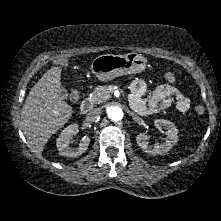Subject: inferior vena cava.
<instances>
[{
  "label": "inferior vena cava",
  "instance_id": "obj_1",
  "mask_svg": "<svg viewBox=\"0 0 221 221\" xmlns=\"http://www.w3.org/2000/svg\"><path fill=\"white\" fill-rule=\"evenodd\" d=\"M101 110L99 108L91 109L88 114L86 115V121L88 122H94L100 115Z\"/></svg>",
  "mask_w": 221,
  "mask_h": 221
}]
</instances>
